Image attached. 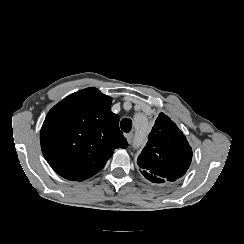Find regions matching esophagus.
<instances>
[{
  "label": "esophagus",
  "instance_id": "1",
  "mask_svg": "<svg viewBox=\"0 0 244 244\" xmlns=\"http://www.w3.org/2000/svg\"><path fill=\"white\" fill-rule=\"evenodd\" d=\"M133 137H134L133 132H130V133L126 134V138H127V141H128L129 143H132V141H133Z\"/></svg>",
  "mask_w": 244,
  "mask_h": 244
}]
</instances>
